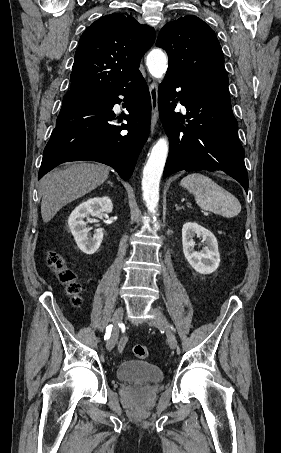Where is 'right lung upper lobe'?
Here are the masks:
<instances>
[{"instance_id":"cb5924a9","label":"right lung upper lobe","mask_w":281,"mask_h":453,"mask_svg":"<svg viewBox=\"0 0 281 453\" xmlns=\"http://www.w3.org/2000/svg\"><path fill=\"white\" fill-rule=\"evenodd\" d=\"M155 31L129 15L112 13L89 26L79 40L70 91L115 88L138 71Z\"/></svg>"}]
</instances>
